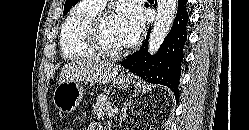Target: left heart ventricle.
I'll use <instances>...</instances> for the list:
<instances>
[{
    "mask_svg": "<svg viewBox=\"0 0 249 130\" xmlns=\"http://www.w3.org/2000/svg\"><path fill=\"white\" fill-rule=\"evenodd\" d=\"M102 38L106 46L112 50L125 47L120 32L115 22V17L108 15L102 22Z\"/></svg>",
    "mask_w": 249,
    "mask_h": 130,
    "instance_id": "obj_1",
    "label": "left heart ventricle"
}]
</instances>
